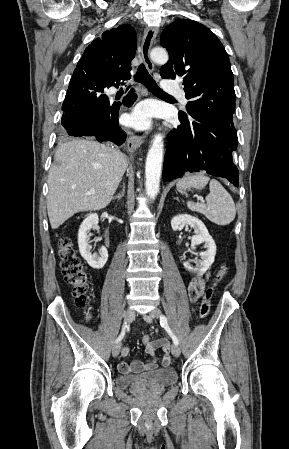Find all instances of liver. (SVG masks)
<instances>
[{
	"label": "liver",
	"instance_id": "6515ba94",
	"mask_svg": "<svg viewBox=\"0 0 289 449\" xmlns=\"http://www.w3.org/2000/svg\"><path fill=\"white\" fill-rule=\"evenodd\" d=\"M48 173L47 211L52 229L78 212L105 208L128 166L123 153L92 140L61 144Z\"/></svg>",
	"mask_w": 289,
	"mask_h": 449
}]
</instances>
